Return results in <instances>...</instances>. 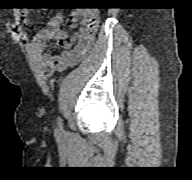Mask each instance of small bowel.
Returning <instances> with one entry per match:
<instances>
[{"instance_id":"c3829d8e","label":"small bowel","mask_w":192,"mask_h":180,"mask_svg":"<svg viewBox=\"0 0 192 180\" xmlns=\"http://www.w3.org/2000/svg\"><path fill=\"white\" fill-rule=\"evenodd\" d=\"M21 17L28 22V11L23 10ZM71 20L78 21L79 25L74 37L69 38L61 28L64 15L57 13L50 19L48 27L35 35L30 43L31 51L42 54L49 40H56L61 51L51 55H43L45 72L51 75L55 70H63L82 60L91 50L99 24V14L94 10H75L71 13Z\"/></svg>"}]
</instances>
